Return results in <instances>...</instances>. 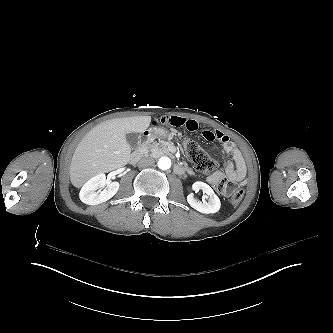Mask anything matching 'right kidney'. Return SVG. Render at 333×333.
Masks as SVG:
<instances>
[{"label": "right kidney", "mask_w": 333, "mask_h": 333, "mask_svg": "<svg viewBox=\"0 0 333 333\" xmlns=\"http://www.w3.org/2000/svg\"><path fill=\"white\" fill-rule=\"evenodd\" d=\"M106 188L101 192L98 189ZM118 182H108L105 174H98L89 179L81 188L79 197L80 200L88 205H98L111 199L118 191Z\"/></svg>", "instance_id": "obj_1"}]
</instances>
